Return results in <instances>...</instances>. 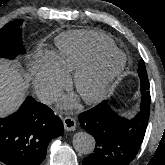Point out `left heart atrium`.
I'll use <instances>...</instances> for the list:
<instances>
[{
  "mask_svg": "<svg viewBox=\"0 0 165 165\" xmlns=\"http://www.w3.org/2000/svg\"><path fill=\"white\" fill-rule=\"evenodd\" d=\"M63 106L67 107V108L73 107L74 106V101L71 100V99H67V100L64 101Z\"/></svg>",
  "mask_w": 165,
  "mask_h": 165,
  "instance_id": "1",
  "label": "left heart atrium"
}]
</instances>
